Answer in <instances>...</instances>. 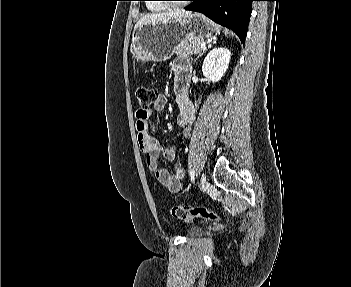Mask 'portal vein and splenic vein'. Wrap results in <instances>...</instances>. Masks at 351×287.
<instances>
[{
  "instance_id": "portal-vein-and-splenic-vein-1",
  "label": "portal vein and splenic vein",
  "mask_w": 351,
  "mask_h": 287,
  "mask_svg": "<svg viewBox=\"0 0 351 287\" xmlns=\"http://www.w3.org/2000/svg\"><path fill=\"white\" fill-rule=\"evenodd\" d=\"M201 48H202V49H205V48H206L205 42L201 43Z\"/></svg>"
}]
</instances>
